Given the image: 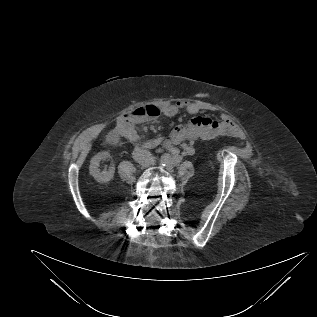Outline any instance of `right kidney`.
I'll return each mask as SVG.
<instances>
[{
	"label": "right kidney",
	"mask_w": 317,
	"mask_h": 317,
	"mask_svg": "<svg viewBox=\"0 0 317 317\" xmlns=\"http://www.w3.org/2000/svg\"><path fill=\"white\" fill-rule=\"evenodd\" d=\"M108 158H110V154L107 151L99 152L91 158L89 172L99 183H106L114 176L115 167L113 165L108 169V171H100L99 169L100 162Z\"/></svg>",
	"instance_id": "ca27d5eb"
}]
</instances>
